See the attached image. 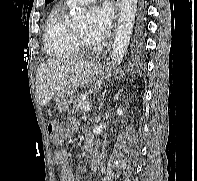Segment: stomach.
<instances>
[{
	"mask_svg": "<svg viewBox=\"0 0 197 181\" xmlns=\"http://www.w3.org/2000/svg\"><path fill=\"white\" fill-rule=\"evenodd\" d=\"M96 74L100 77H103L106 74V70L100 67L96 68ZM54 99H55L56 107L60 111L66 112L70 110L72 101L74 99V93L68 90L58 91L55 94Z\"/></svg>",
	"mask_w": 197,
	"mask_h": 181,
	"instance_id": "1",
	"label": "stomach"
}]
</instances>
